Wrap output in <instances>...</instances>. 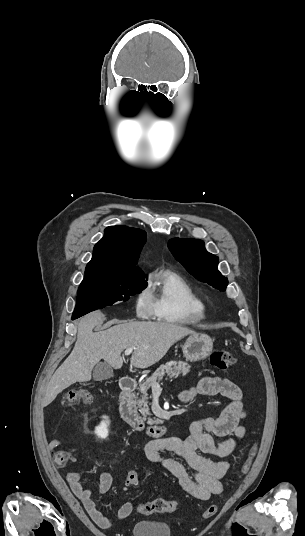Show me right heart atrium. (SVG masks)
<instances>
[{"instance_id":"d8ad5b80","label":"right heart atrium","mask_w":305,"mask_h":536,"mask_svg":"<svg viewBox=\"0 0 305 536\" xmlns=\"http://www.w3.org/2000/svg\"><path fill=\"white\" fill-rule=\"evenodd\" d=\"M134 307L138 317L148 318L154 313L148 288L137 291L134 298Z\"/></svg>"}]
</instances>
